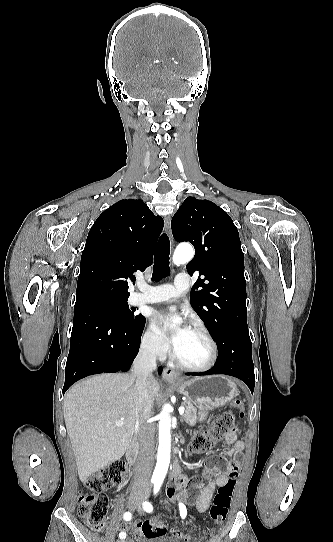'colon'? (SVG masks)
<instances>
[{"label": "colon", "mask_w": 333, "mask_h": 542, "mask_svg": "<svg viewBox=\"0 0 333 542\" xmlns=\"http://www.w3.org/2000/svg\"><path fill=\"white\" fill-rule=\"evenodd\" d=\"M235 410L242 414V404L239 400L233 403ZM236 417L232 411L222 412L211 424L210 428L203 431H196L190 443V451L196 454L204 453L210 450L218 441L227 436L226 433H234L236 430ZM220 467L223 468L229 476V481L219 488L210 508V516L217 524L226 520L228 510L231 505V499L234 493L236 480L239 477L242 459L219 458ZM118 463H112L104 467L100 472L90 476L86 480V487L94 493H81L78 501L79 515L95 531H101L104 527L105 515L108 509V499L104 494L105 489H114L122 480ZM191 483L197 486L201 483L199 477H192ZM141 530L146 539L161 538L166 534V526L159 519H147L141 525ZM177 536L182 538V534Z\"/></svg>", "instance_id": "5ec220e1"}]
</instances>
